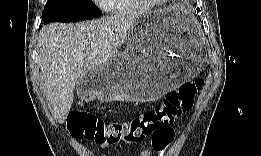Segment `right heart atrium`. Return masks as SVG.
Returning <instances> with one entry per match:
<instances>
[{
    "label": "right heart atrium",
    "instance_id": "1",
    "mask_svg": "<svg viewBox=\"0 0 261 156\" xmlns=\"http://www.w3.org/2000/svg\"><path fill=\"white\" fill-rule=\"evenodd\" d=\"M99 5H100L102 8L106 9V10H110V9H111V7H110V5H109V0H100V1H99Z\"/></svg>",
    "mask_w": 261,
    "mask_h": 156
}]
</instances>
